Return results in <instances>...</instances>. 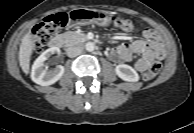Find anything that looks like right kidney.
<instances>
[{
    "instance_id": "obj_1",
    "label": "right kidney",
    "mask_w": 194,
    "mask_h": 133,
    "mask_svg": "<svg viewBox=\"0 0 194 133\" xmlns=\"http://www.w3.org/2000/svg\"><path fill=\"white\" fill-rule=\"evenodd\" d=\"M55 53H60L59 48H49L35 60L31 70V79L33 82L41 86H48L54 84L62 77L65 70L62 65H58L53 70H49L45 65V61Z\"/></svg>"
}]
</instances>
